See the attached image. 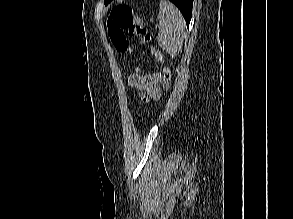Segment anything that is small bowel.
<instances>
[{"mask_svg": "<svg viewBox=\"0 0 293 219\" xmlns=\"http://www.w3.org/2000/svg\"><path fill=\"white\" fill-rule=\"evenodd\" d=\"M160 75L158 73L147 75H133L130 84L140 91L146 92L147 98L157 99L160 95ZM146 100V98H145Z\"/></svg>", "mask_w": 293, "mask_h": 219, "instance_id": "obj_1", "label": "small bowel"}]
</instances>
